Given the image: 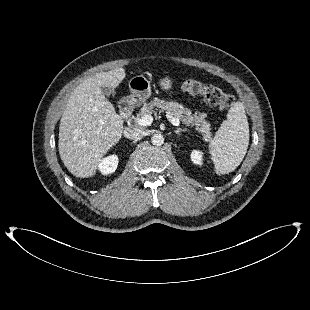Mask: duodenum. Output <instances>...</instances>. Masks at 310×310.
Wrapping results in <instances>:
<instances>
[{
    "instance_id": "410a0bca",
    "label": "duodenum",
    "mask_w": 310,
    "mask_h": 310,
    "mask_svg": "<svg viewBox=\"0 0 310 310\" xmlns=\"http://www.w3.org/2000/svg\"><path fill=\"white\" fill-rule=\"evenodd\" d=\"M120 116L123 119L128 118L132 112V105L129 100H124L121 102L119 107Z\"/></svg>"
}]
</instances>
